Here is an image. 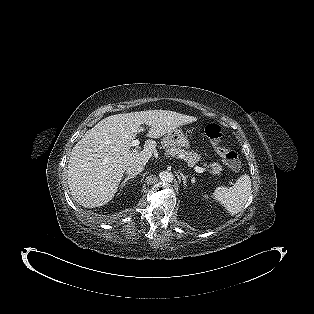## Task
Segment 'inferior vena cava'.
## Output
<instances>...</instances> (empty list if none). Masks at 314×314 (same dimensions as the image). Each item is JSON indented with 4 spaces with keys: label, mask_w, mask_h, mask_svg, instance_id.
<instances>
[{
    "label": "inferior vena cava",
    "mask_w": 314,
    "mask_h": 314,
    "mask_svg": "<svg viewBox=\"0 0 314 314\" xmlns=\"http://www.w3.org/2000/svg\"><path fill=\"white\" fill-rule=\"evenodd\" d=\"M145 163H132L126 168V174L129 176H135L141 173L144 170Z\"/></svg>",
    "instance_id": "inferior-vena-cava-1"
}]
</instances>
